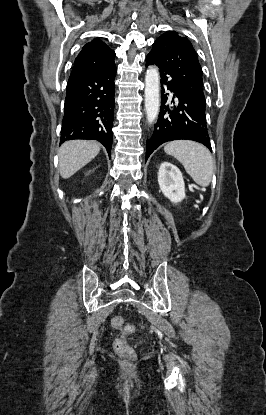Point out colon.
<instances>
[{"instance_id": "colon-1", "label": "colon", "mask_w": 266, "mask_h": 415, "mask_svg": "<svg viewBox=\"0 0 266 415\" xmlns=\"http://www.w3.org/2000/svg\"><path fill=\"white\" fill-rule=\"evenodd\" d=\"M111 325L114 329L120 331L114 341V349L117 354L125 358H133V349L127 342V336L134 330L133 326L126 323L123 317L116 315L111 319Z\"/></svg>"}]
</instances>
